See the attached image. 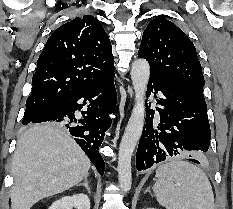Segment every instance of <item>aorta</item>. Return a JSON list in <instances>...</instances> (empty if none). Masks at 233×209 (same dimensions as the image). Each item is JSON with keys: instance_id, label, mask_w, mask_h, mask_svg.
<instances>
[{"instance_id": "aorta-1", "label": "aorta", "mask_w": 233, "mask_h": 209, "mask_svg": "<svg viewBox=\"0 0 233 209\" xmlns=\"http://www.w3.org/2000/svg\"><path fill=\"white\" fill-rule=\"evenodd\" d=\"M150 76L147 60L137 59L132 63L131 79L135 91V105L123 134L118 153V179L123 192L132 185L131 157L141 137L145 121V96Z\"/></svg>"}]
</instances>
